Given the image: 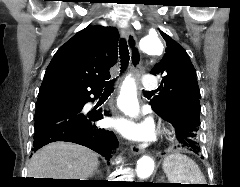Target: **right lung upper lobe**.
Here are the masks:
<instances>
[{"instance_id": "obj_1", "label": "right lung upper lobe", "mask_w": 240, "mask_h": 187, "mask_svg": "<svg viewBox=\"0 0 240 187\" xmlns=\"http://www.w3.org/2000/svg\"><path fill=\"white\" fill-rule=\"evenodd\" d=\"M116 28L88 26L55 53L41 84L37 106L81 98L102 89L117 61Z\"/></svg>"}]
</instances>
